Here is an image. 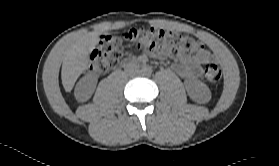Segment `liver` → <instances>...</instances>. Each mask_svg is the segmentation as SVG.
I'll use <instances>...</instances> for the list:
<instances>
[{
  "label": "liver",
  "mask_w": 279,
  "mask_h": 166,
  "mask_svg": "<svg viewBox=\"0 0 279 166\" xmlns=\"http://www.w3.org/2000/svg\"><path fill=\"white\" fill-rule=\"evenodd\" d=\"M99 36L100 32L86 33L76 38L66 50L61 70L62 84L66 92L73 89L78 77L86 69L90 61L89 54L95 48Z\"/></svg>",
  "instance_id": "liver-1"
}]
</instances>
